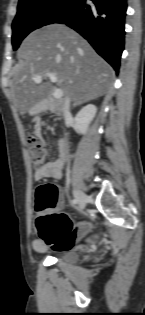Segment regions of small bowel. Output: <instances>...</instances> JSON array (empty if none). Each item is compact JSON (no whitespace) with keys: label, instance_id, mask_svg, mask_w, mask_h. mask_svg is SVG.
I'll return each instance as SVG.
<instances>
[{"label":"small bowel","instance_id":"obj_1","mask_svg":"<svg viewBox=\"0 0 145 315\" xmlns=\"http://www.w3.org/2000/svg\"><path fill=\"white\" fill-rule=\"evenodd\" d=\"M34 126L36 131L39 133L41 128L40 120H34ZM68 150L66 144L61 142V155L60 158L55 161H50L42 166L38 167L34 171V180L41 181L44 179H60L62 178L63 168L68 161ZM62 199V198H61ZM63 208V200L62 204L59 205L58 210H62ZM67 217V216H66ZM33 249L37 252H45L47 250V245L40 238H37L33 241Z\"/></svg>","mask_w":145,"mask_h":315}]
</instances>
